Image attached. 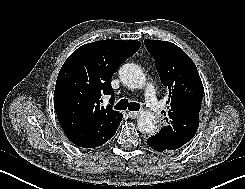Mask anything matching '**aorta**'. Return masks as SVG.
Returning a JSON list of instances; mask_svg holds the SVG:
<instances>
[{
  "label": "aorta",
  "mask_w": 245,
  "mask_h": 189,
  "mask_svg": "<svg viewBox=\"0 0 245 189\" xmlns=\"http://www.w3.org/2000/svg\"><path fill=\"white\" fill-rule=\"evenodd\" d=\"M121 82L133 89H141L145 86L146 78L142 69L134 63H127L119 69ZM138 130L142 133H151L155 129L156 120L151 112H143L137 119Z\"/></svg>",
  "instance_id": "1"
}]
</instances>
